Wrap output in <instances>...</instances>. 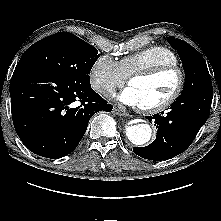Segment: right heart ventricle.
<instances>
[{
  "instance_id": "obj_1",
  "label": "right heart ventricle",
  "mask_w": 221,
  "mask_h": 221,
  "mask_svg": "<svg viewBox=\"0 0 221 221\" xmlns=\"http://www.w3.org/2000/svg\"><path fill=\"white\" fill-rule=\"evenodd\" d=\"M119 66L126 77L132 73L163 64L178 65V57L168 47L153 45L123 57Z\"/></svg>"
}]
</instances>
